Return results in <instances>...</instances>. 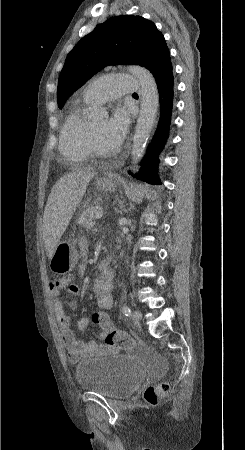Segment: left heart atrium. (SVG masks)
<instances>
[{"label": "left heart atrium", "mask_w": 245, "mask_h": 450, "mask_svg": "<svg viewBox=\"0 0 245 450\" xmlns=\"http://www.w3.org/2000/svg\"><path fill=\"white\" fill-rule=\"evenodd\" d=\"M129 116L125 109H117L113 116L108 120L106 126V137L109 144L113 147H119L128 132Z\"/></svg>", "instance_id": "1"}]
</instances>
